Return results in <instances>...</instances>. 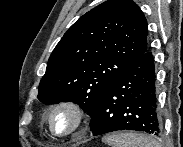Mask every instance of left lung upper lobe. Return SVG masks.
<instances>
[{
    "mask_svg": "<svg viewBox=\"0 0 183 147\" xmlns=\"http://www.w3.org/2000/svg\"><path fill=\"white\" fill-rule=\"evenodd\" d=\"M147 21L132 0H107L80 17L53 50L39 84L44 104L72 101L92 115L112 82L148 50Z\"/></svg>",
    "mask_w": 183,
    "mask_h": 147,
    "instance_id": "left-lung-upper-lobe-1",
    "label": "left lung upper lobe"
}]
</instances>
